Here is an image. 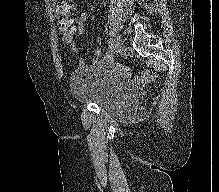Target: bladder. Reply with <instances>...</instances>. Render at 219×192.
I'll list each match as a JSON object with an SVG mask.
<instances>
[{"label": "bladder", "mask_w": 219, "mask_h": 192, "mask_svg": "<svg viewBox=\"0 0 219 192\" xmlns=\"http://www.w3.org/2000/svg\"><path fill=\"white\" fill-rule=\"evenodd\" d=\"M73 97L97 105L107 114L126 118L137 113L139 93L132 80L101 66H83L71 76Z\"/></svg>", "instance_id": "obj_1"}]
</instances>
